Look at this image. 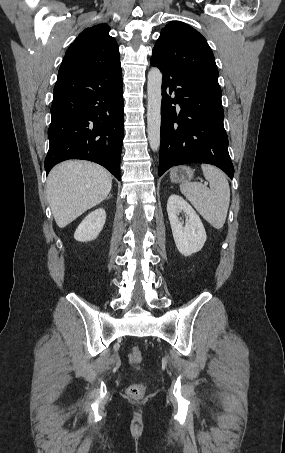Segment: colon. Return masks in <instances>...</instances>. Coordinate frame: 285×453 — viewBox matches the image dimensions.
I'll use <instances>...</instances> for the list:
<instances>
[{"mask_svg": "<svg viewBox=\"0 0 285 453\" xmlns=\"http://www.w3.org/2000/svg\"><path fill=\"white\" fill-rule=\"evenodd\" d=\"M128 360L131 366L136 369L140 368L143 360V354L140 348L134 347L128 354ZM146 387L144 384L138 383L130 385L127 389V394L134 399L140 398L145 393Z\"/></svg>", "mask_w": 285, "mask_h": 453, "instance_id": "obj_1", "label": "colon"}]
</instances>
